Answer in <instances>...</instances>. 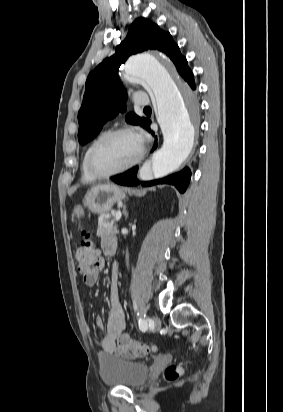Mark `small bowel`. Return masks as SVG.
Returning a JSON list of instances; mask_svg holds the SVG:
<instances>
[{
  "instance_id": "1",
  "label": "small bowel",
  "mask_w": 283,
  "mask_h": 412,
  "mask_svg": "<svg viewBox=\"0 0 283 412\" xmlns=\"http://www.w3.org/2000/svg\"><path fill=\"white\" fill-rule=\"evenodd\" d=\"M117 242L112 238H103L101 241V248L105 254H113L110 252V247ZM98 253V262L93 264L88 272L84 274V281L87 285H94L98 278L100 271L104 267V259ZM120 268L117 264H114L111 272L110 281V308L109 315L106 324V333L99 341L101 356H125L116 347V339L123 332L126 326L125 312L120 301ZM95 324L98 328H103L104 323L101 318H96Z\"/></svg>"
}]
</instances>
